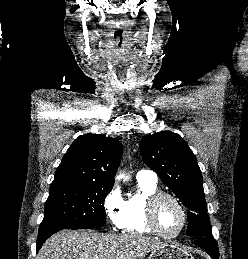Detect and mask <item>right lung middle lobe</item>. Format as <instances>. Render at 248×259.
Segmentation results:
<instances>
[{
  "instance_id": "right-lung-middle-lobe-1",
  "label": "right lung middle lobe",
  "mask_w": 248,
  "mask_h": 259,
  "mask_svg": "<svg viewBox=\"0 0 248 259\" xmlns=\"http://www.w3.org/2000/svg\"><path fill=\"white\" fill-rule=\"evenodd\" d=\"M113 186L71 184L50 186L39 233L87 229L106 223L104 199Z\"/></svg>"
}]
</instances>
